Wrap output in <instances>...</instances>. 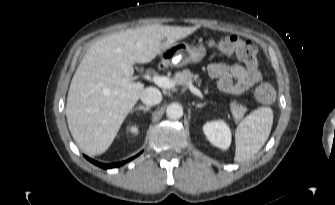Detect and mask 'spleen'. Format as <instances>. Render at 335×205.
Here are the masks:
<instances>
[{
	"mask_svg": "<svg viewBox=\"0 0 335 205\" xmlns=\"http://www.w3.org/2000/svg\"><path fill=\"white\" fill-rule=\"evenodd\" d=\"M273 124L270 107H260L251 112L235 130V162H244L253 157L267 141Z\"/></svg>",
	"mask_w": 335,
	"mask_h": 205,
	"instance_id": "3e777b00",
	"label": "spleen"
}]
</instances>
